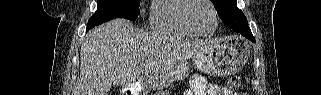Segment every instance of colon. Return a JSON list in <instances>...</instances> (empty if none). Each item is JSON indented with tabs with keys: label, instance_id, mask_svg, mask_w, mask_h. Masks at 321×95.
Masks as SVG:
<instances>
[{
	"label": "colon",
	"instance_id": "1",
	"mask_svg": "<svg viewBox=\"0 0 321 95\" xmlns=\"http://www.w3.org/2000/svg\"><path fill=\"white\" fill-rule=\"evenodd\" d=\"M229 85L231 87H240L242 85V78L239 75H234L229 79Z\"/></svg>",
	"mask_w": 321,
	"mask_h": 95
}]
</instances>
